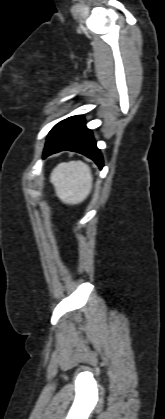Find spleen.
<instances>
[{
	"label": "spleen",
	"mask_w": 165,
	"mask_h": 419,
	"mask_svg": "<svg viewBox=\"0 0 165 419\" xmlns=\"http://www.w3.org/2000/svg\"><path fill=\"white\" fill-rule=\"evenodd\" d=\"M50 181L57 197L65 204L81 203L92 189L91 169L80 160L58 164L51 173Z\"/></svg>",
	"instance_id": "spleen-1"
}]
</instances>
